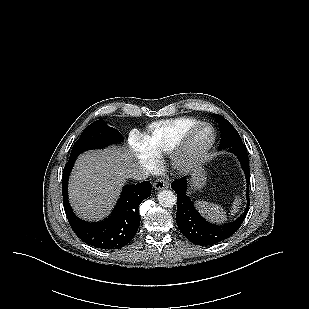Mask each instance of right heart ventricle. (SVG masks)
<instances>
[{"label":"right heart ventricle","instance_id":"1","mask_svg":"<svg viewBox=\"0 0 309 309\" xmlns=\"http://www.w3.org/2000/svg\"><path fill=\"white\" fill-rule=\"evenodd\" d=\"M199 121L194 118H175L150 124L139 138L140 145L155 158L169 154L186 132Z\"/></svg>","mask_w":309,"mask_h":309}]
</instances>
